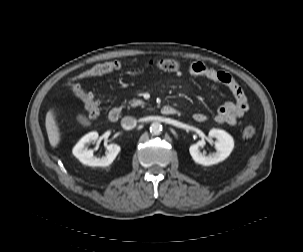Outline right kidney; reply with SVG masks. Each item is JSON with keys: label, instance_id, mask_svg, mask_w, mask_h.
Returning <instances> with one entry per match:
<instances>
[{"label": "right kidney", "instance_id": "ca27d5eb", "mask_svg": "<svg viewBox=\"0 0 303 252\" xmlns=\"http://www.w3.org/2000/svg\"><path fill=\"white\" fill-rule=\"evenodd\" d=\"M98 133L90 132L80 139V141L73 148V155L85 165L96 167H106L110 165L120 152L121 148L117 144L107 145L108 153L105 157L96 158L93 156V150L87 148L89 143H98Z\"/></svg>", "mask_w": 303, "mask_h": 252}]
</instances>
